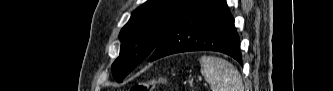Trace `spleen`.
<instances>
[{
	"label": "spleen",
	"mask_w": 333,
	"mask_h": 91,
	"mask_svg": "<svg viewBox=\"0 0 333 91\" xmlns=\"http://www.w3.org/2000/svg\"><path fill=\"white\" fill-rule=\"evenodd\" d=\"M201 74L212 91H244L238 70L227 60L214 56H201Z\"/></svg>",
	"instance_id": "1"
}]
</instances>
